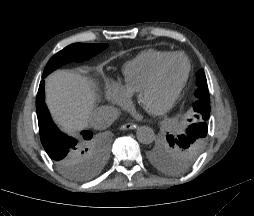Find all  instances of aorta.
Wrapping results in <instances>:
<instances>
[{"mask_svg": "<svg viewBox=\"0 0 254 216\" xmlns=\"http://www.w3.org/2000/svg\"><path fill=\"white\" fill-rule=\"evenodd\" d=\"M137 140L142 144H150L155 138L154 130L149 126H141L136 132Z\"/></svg>", "mask_w": 254, "mask_h": 216, "instance_id": "762f6f07", "label": "aorta"}]
</instances>
